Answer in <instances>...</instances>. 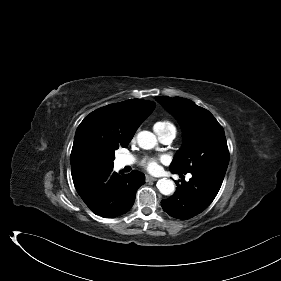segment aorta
Listing matches in <instances>:
<instances>
[{
    "mask_svg": "<svg viewBox=\"0 0 281 281\" xmlns=\"http://www.w3.org/2000/svg\"><path fill=\"white\" fill-rule=\"evenodd\" d=\"M138 145L146 150L152 149L157 144L156 136L150 131H141L137 135ZM157 188L163 195H171L175 191V184L172 180L162 178L157 182Z\"/></svg>",
    "mask_w": 281,
    "mask_h": 281,
    "instance_id": "obj_1",
    "label": "aorta"
}]
</instances>
